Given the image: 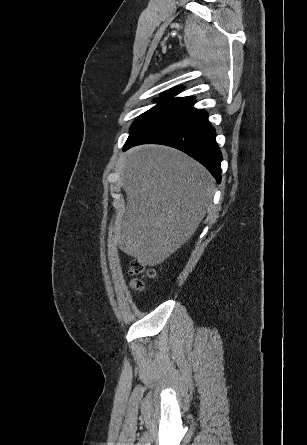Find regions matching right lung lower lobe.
<instances>
[{"instance_id": "1", "label": "right lung lower lobe", "mask_w": 307, "mask_h": 445, "mask_svg": "<svg viewBox=\"0 0 307 445\" xmlns=\"http://www.w3.org/2000/svg\"><path fill=\"white\" fill-rule=\"evenodd\" d=\"M194 100L170 112L129 136L123 150L146 143L179 149L201 164L221 181L222 155L215 140V129L204 110L193 107Z\"/></svg>"}]
</instances>
